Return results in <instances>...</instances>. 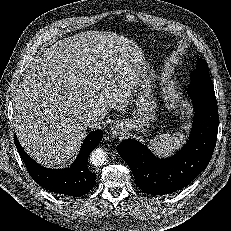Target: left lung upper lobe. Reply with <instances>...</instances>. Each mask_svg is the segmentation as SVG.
<instances>
[{
    "label": "left lung upper lobe",
    "instance_id": "5c2ea615",
    "mask_svg": "<svg viewBox=\"0 0 231 231\" xmlns=\"http://www.w3.org/2000/svg\"><path fill=\"white\" fill-rule=\"evenodd\" d=\"M191 81L192 83L213 86L205 59L198 60L197 68L191 73Z\"/></svg>",
    "mask_w": 231,
    "mask_h": 231
}]
</instances>
